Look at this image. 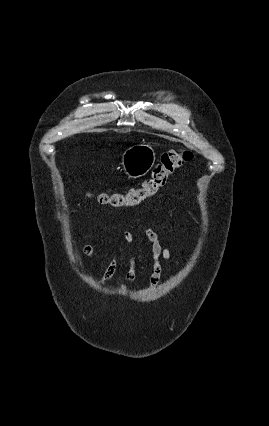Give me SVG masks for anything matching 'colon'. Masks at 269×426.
Listing matches in <instances>:
<instances>
[{"label":"colon","instance_id":"colon-1","mask_svg":"<svg viewBox=\"0 0 269 426\" xmlns=\"http://www.w3.org/2000/svg\"><path fill=\"white\" fill-rule=\"evenodd\" d=\"M192 159L188 150H170L164 152L158 163L153 167L151 174L144 178L138 186L125 192L101 194L99 202L113 207H133L154 196L167 182V179L177 169Z\"/></svg>","mask_w":269,"mask_h":426}]
</instances>
